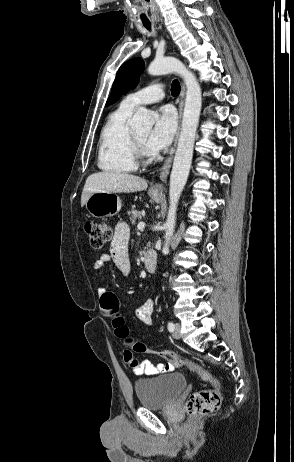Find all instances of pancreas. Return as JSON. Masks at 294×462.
<instances>
[{"mask_svg": "<svg viewBox=\"0 0 294 462\" xmlns=\"http://www.w3.org/2000/svg\"><path fill=\"white\" fill-rule=\"evenodd\" d=\"M128 214H129L130 221L132 222V224H136V222H140V220L142 219V213L138 212L135 209H132L131 211H129Z\"/></svg>", "mask_w": 294, "mask_h": 462, "instance_id": "obj_1", "label": "pancreas"}]
</instances>
